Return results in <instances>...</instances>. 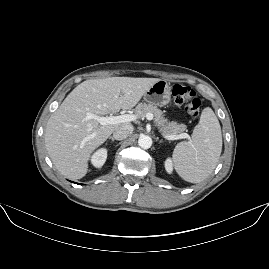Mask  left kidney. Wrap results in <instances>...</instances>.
Segmentation results:
<instances>
[{
    "instance_id": "5707ae66",
    "label": "left kidney",
    "mask_w": 269,
    "mask_h": 269,
    "mask_svg": "<svg viewBox=\"0 0 269 269\" xmlns=\"http://www.w3.org/2000/svg\"><path fill=\"white\" fill-rule=\"evenodd\" d=\"M165 167L168 172H171L172 167H171V162L169 160L166 161Z\"/></svg>"
}]
</instances>
